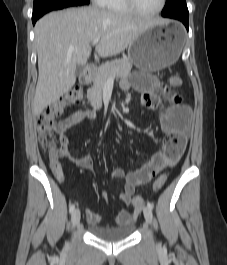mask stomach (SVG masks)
I'll return each instance as SVG.
<instances>
[{
	"instance_id": "1",
	"label": "stomach",
	"mask_w": 227,
	"mask_h": 265,
	"mask_svg": "<svg viewBox=\"0 0 227 265\" xmlns=\"http://www.w3.org/2000/svg\"><path fill=\"white\" fill-rule=\"evenodd\" d=\"M183 48V29L154 25L140 34L128 47V58L139 69L157 72L173 65Z\"/></svg>"
}]
</instances>
